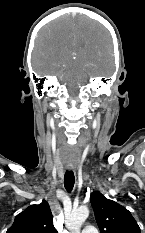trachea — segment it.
I'll return each mask as SVG.
<instances>
[{
	"label": "trachea",
	"mask_w": 145,
	"mask_h": 233,
	"mask_svg": "<svg viewBox=\"0 0 145 233\" xmlns=\"http://www.w3.org/2000/svg\"><path fill=\"white\" fill-rule=\"evenodd\" d=\"M75 183V177L73 171L67 170L64 175V186L68 192H71Z\"/></svg>",
	"instance_id": "1"
}]
</instances>
